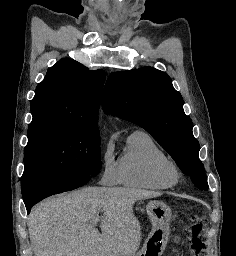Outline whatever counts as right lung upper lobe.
Segmentation results:
<instances>
[{
	"label": "right lung upper lobe",
	"mask_w": 236,
	"mask_h": 256,
	"mask_svg": "<svg viewBox=\"0 0 236 256\" xmlns=\"http://www.w3.org/2000/svg\"><path fill=\"white\" fill-rule=\"evenodd\" d=\"M104 81L103 70L90 71L75 60L61 59L35 90L31 124L66 123L98 128Z\"/></svg>",
	"instance_id": "obj_1"
}]
</instances>
